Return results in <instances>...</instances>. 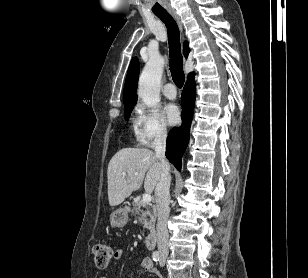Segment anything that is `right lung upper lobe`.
Returning <instances> with one entry per match:
<instances>
[{"mask_svg": "<svg viewBox=\"0 0 308 278\" xmlns=\"http://www.w3.org/2000/svg\"><path fill=\"white\" fill-rule=\"evenodd\" d=\"M189 51L190 49L188 47V44L187 42H185L184 43L185 57L188 56ZM138 76H139V63L138 59L135 57L132 59L127 72V77L124 86V95H123L124 105L136 104L137 101L136 88H137ZM191 76H194V73H190L188 78Z\"/></svg>", "mask_w": 308, "mask_h": 278, "instance_id": "1", "label": "right lung upper lobe"}]
</instances>
